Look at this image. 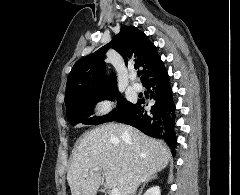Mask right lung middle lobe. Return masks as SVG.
I'll use <instances>...</instances> for the list:
<instances>
[{
    "label": "right lung middle lobe",
    "mask_w": 240,
    "mask_h": 195,
    "mask_svg": "<svg viewBox=\"0 0 240 195\" xmlns=\"http://www.w3.org/2000/svg\"><path fill=\"white\" fill-rule=\"evenodd\" d=\"M104 99H118L117 108L110 114L102 117L92 116L95 104ZM135 105L136 104L128 102L122 98L119 92L99 97L79 98L66 105L67 119L71 125H75L77 123L98 125L113 121L118 116L131 110L135 107Z\"/></svg>",
    "instance_id": "dd1d6c3e"
}]
</instances>
